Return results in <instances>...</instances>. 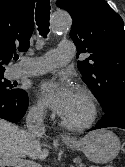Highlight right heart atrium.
Returning <instances> with one entry per match:
<instances>
[{
	"instance_id": "d8ad5b80",
	"label": "right heart atrium",
	"mask_w": 125,
	"mask_h": 167,
	"mask_svg": "<svg viewBox=\"0 0 125 167\" xmlns=\"http://www.w3.org/2000/svg\"><path fill=\"white\" fill-rule=\"evenodd\" d=\"M29 112L36 119H43L46 115L45 107L39 101L33 103L29 108Z\"/></svg>"
}]
</instances>
